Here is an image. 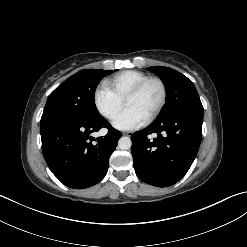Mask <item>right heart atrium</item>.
Wrapping results in <instances>:
<instances>
[{
	"mask_svg": "<svg viewBox=\"0 0 247 247\" xmlns=\"http://www.w3.org/2000/svg\"><path fill=\"white\" fill-rule=\"evenodd\" d=\"M97 111L106 119H114L123 106V100L107 85L99 86L93 95Z\"/></svg>",
	"mask_w": 247,
	"mask_h": 247,
	"instance_id": "obj_1",
	"label": "right heart atrium"
}]
</instances>
